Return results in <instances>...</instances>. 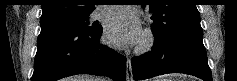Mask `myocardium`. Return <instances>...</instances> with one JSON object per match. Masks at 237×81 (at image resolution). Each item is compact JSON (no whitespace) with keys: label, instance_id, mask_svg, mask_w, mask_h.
<instances>
[{"label":"myocardium","instance_id":"obj_1","mask_svg":"<svg viewBox=\"0 0 237 81\" xmlns=\"http://www.w3.org/2000/svg\"><path fill=\"white\" fill-rule=\"evenodd\" d=\"M155 44V35L151 29H145L139 45L137 46L136 52L144 54L149 52Z\"/></svg>","mask_w":237,"mask_h":81}]
</instances>
